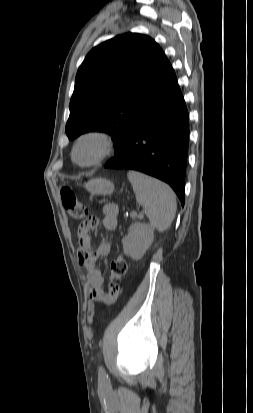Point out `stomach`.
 <instances>
[{"label":"stomach","instance_id":"stomach-1","mask_svg":"<svg viewBox=\"0 0 253 413\" xmlns=\"http://www.w3.org/2000/svg\"><path fill=\"white\" fill-rule=\"evenodd\" d=\"M88 192L94 195H109L114 191V184L103 178L91 179L85 184Z\"/></svg>","mask_w":253,"mask_h":413}]
</instances>
